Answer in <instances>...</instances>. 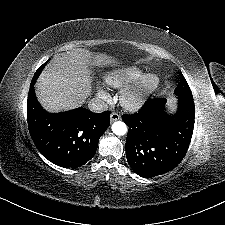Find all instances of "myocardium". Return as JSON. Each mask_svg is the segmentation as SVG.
Returning a JSON list of instances; mask_svg holds the SVG:
<instances>
[{"label":"myocardium","instance_id":"myocardium-1","mask_svg":"<svg viewBox=\"0 0 225 225\" xmlns=\"http://www.w3.org/2000/svg\"><path fill=\"white\" fill-rule=\"evenodd\" d=\"M158 83L159 77L156 73L147 75L137 86L124 94L121 100L123 107L130 111L140 109Z\"/></svg>","mask_w":225,"mask_h":225}]
</instances>
